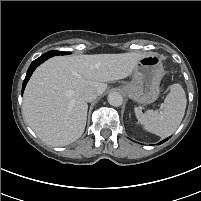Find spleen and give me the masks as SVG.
<instances>
[{
	"instance_id": "3e777b00",
	"label": "spleen",
	"mask_w": 201,
	"mask_h": 201,
	"mask_svg": "<svg viewBox=\"0 0 201 201\" xmlns=\"http://www.w3.org/2000/svg\"><path fill=\"white\" fill-rule=\"evenodd\" d=\"M186 104L185 91L180 84L176 83L171 86L162 110H148L143 113L140 108L136 107L135 116L138 123L148 132L167 137L179 127L184 117Z\"/></svg>"
}]
</instances>
